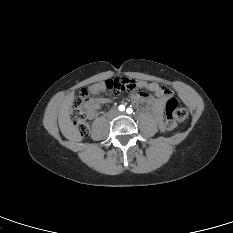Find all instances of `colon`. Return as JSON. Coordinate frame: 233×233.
Returning a JSON list of instances; mask_svg holds the SVG:
<instances>
[{
    "mask_svg": "<svg viewBox=\"0 0 233 233\" xmlns=\"http://www.w3.org/2000/svg\"><path fill=\"white\" fill-rule=\"evenodd\" d=\"M105 87L116 93L132 91L136 87V81L127 78L109 79L105 82ZM91 95L87 89H83L75 98L71 110V119L75 124L78 133L85 137L89 133V124L87 121V112L90 105ZM166 119L165 128L167 130L175 129L178 124L182 123L188 116L185 108L178 107L177 101L174 98H169L165 105Z\"/></svg>",
    "mask_w": 233,
    "mask_h": 233,
    "instance_id": "obj_1",
    "label": "colon"
}]
</instances>
